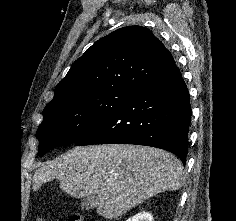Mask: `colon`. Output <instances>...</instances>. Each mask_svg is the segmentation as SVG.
<instances>
[{"instance_id": "5ec220e1", "label": "colon", "mask_w": 236, "mask_h": 221, "mask_svg": "<svg viewBox=\"0 0 236 221\" xmlns=\"http://www.w3.org/2000/svg\"><path fill=\"white\" fill-rule=\"evenodd\" d=\"M36 221H45V220L44 219H37ZM68 221H86V220L80 215H72Z\"/></svg>"}]
</instances>
